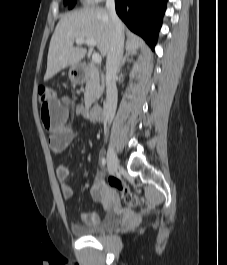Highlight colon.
<instances>
[{
	"mask_svg": "<svg viewBox=\"0 0 227 265\" xmlns=\"http://www.w3.org/2000/svg\"><path fill=\"white\" fill-rule=\"evenodd\" d=\"M39 102H50L54 98L53 90L47 85H40L38 87ZM110 186L116 189L123 201L130 205L136 206L139 204L138 196L130 189V187L118 176H110L108 178Z\"/></svg>",
	"mask_w": 227,
	"mask_h": 265,
	"instance_id": "colon-1",
	"label": "colon"
}]
</instances>
